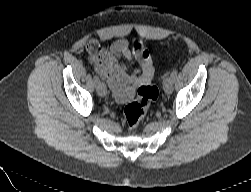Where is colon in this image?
I'll list each match as a JSON object with an SVG mask.
<instances>
[{"instance_id": "1", "label": "colon", "mask_w": 251, "mask_h": 192, "mask_svg": "<svg viewBox=\"0 0 251 192\" xmlns=\"http://www.w3.org/2000/svg\"><path fill=\"white\" fill-rule=\"evenodd\" d=\"M158 97L157 87L150 81L141 84L137 90V97L124 108V120L130 130L135 129L144 120L151 102Z\"/></svg>"}]
</instances>
